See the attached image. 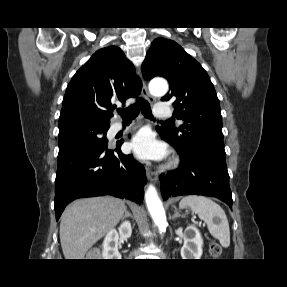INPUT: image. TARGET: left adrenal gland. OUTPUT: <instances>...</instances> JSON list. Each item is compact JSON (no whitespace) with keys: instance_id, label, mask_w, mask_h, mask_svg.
I'll use <instances>...</instances> for the list:
<instances>
[{"instance_id":"1","label":"left adrenal gland","mask_w":287,"mask_h":287,"mask_svg":"<svg viewBox=\"0 0 287 287\" xmlns=\"http://www.w3.org/2000/svg\"><path fill=\"white\" fill-rule=\"evenodd\" d=\"M181 215L178 213L177 210L174 211V215L172 216V219L174 220L177 217H180Z\"/></svg>"}]
</instances>
